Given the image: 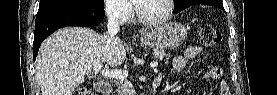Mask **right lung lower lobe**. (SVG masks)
<instances>
[{
  "label": "right lung lower lobe",
  "mask_w": 277,
  "mask_h": 95,
  "mask_svg": "<svg viewBox=\"0 0 277 95\" xmlns=\"http://www.w3.org/2000/svg\"><path fill=\"white\" fill-rule=\"evenodd\" d=\"M104 18V10L82 13H52L38 16L35 21L33 59L35 61L41 42L51 33L66 26H96Z\"/></svg>",
  "instance_id": "98d812e1"
}]
</instances>
